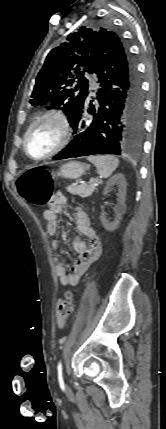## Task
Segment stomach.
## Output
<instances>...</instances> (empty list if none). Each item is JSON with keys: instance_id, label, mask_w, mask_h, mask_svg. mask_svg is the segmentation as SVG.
I'll use <instances>...</instances> for the list:
<instances>
[{"instance_id": "obj_1", "label": "stomach", "mask_w": 166, "mask_h": 429, "mask_svg": "<svg viewBox=\"0 0 166 429\" xmlns=\"http://www.w3.org/2000/svg\"><path fill=\"white\" fill-rule=\"evenodd\" d=\"M88 169L89 165L87 164L77 161H70L66 164H63L57 174L58 176L66 179H77L81 177Z\"/></svg>"}]
</instances>
